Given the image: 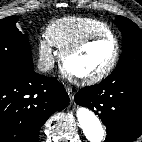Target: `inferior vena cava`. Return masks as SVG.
<instances>
[{"label":"inferior vena cava","instance_id":"inferior-vena-cava-1","mask_svg":"<svg viewBox=\"0 0 142 142\" xmlns=\"http://www.w3.org/2000/svg\"><path fill=\"white\" fill-rule=\"evenodd\" d=\"M54 67V60L53 59H47V60H41L38 62L37 68L39 71L47 72Z\"/></svg>","mask_w":142,"mask_h":142}]
</instances>
